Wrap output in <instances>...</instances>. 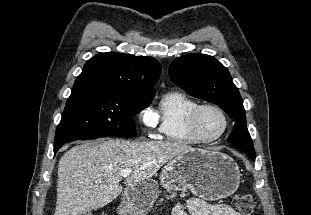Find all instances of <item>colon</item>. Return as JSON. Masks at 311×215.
I'll return each instance as SVG.
<instances>
[{"label": "colon", "instance_id": "1", "mask_svg": "<svg viewBox=\"0 0 311 215\" xmlns=\"http://www.w3.org/2000/svg\"><path fill=\"white\" fill-rule=\"evenodd\" d=\"M232 201L241 215H251L256 205L255 196L248 193L235 194Z\"/></svg>", "mask_w": 311, "mask_h": 215}]
</instances>
